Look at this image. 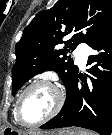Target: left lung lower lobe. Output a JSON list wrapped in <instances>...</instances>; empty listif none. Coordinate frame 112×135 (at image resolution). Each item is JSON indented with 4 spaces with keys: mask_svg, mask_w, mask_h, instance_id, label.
I'll list each match as a JSON object with an SVG mask.
<instances>
[{
    "mask_svg": "<svg viewBox=\"0 0 112 135\" xmlns=\"http://www.w3.org/2000/svg\"><path fill=\"white\" fill-rule=\"evenodd\" d=\"M97 51L89 56L87 75L71 79L66 88V100L61 111L40 128L77 126L96 131L100 135L112 132V22L90 45ZM95 63V64H94ZM81 86H78L79 79Z\"/></svg>",
    "mask_w": 112,
    "mask_h": 135,
    "instance_id": "1",
    "label": "left lung lower lobe"
}]
</instances>
